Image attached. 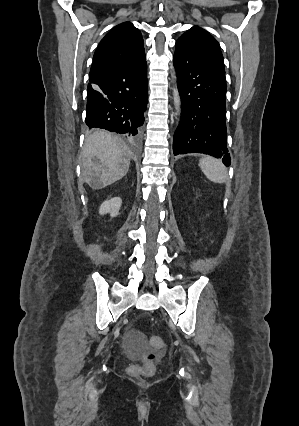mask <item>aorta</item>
Instances as JSON below:
<instances>
[{"mask_svg":"<svg viewBox=\"0 0 299 426\" xmlns=\"http://www.w3.org/2000/svg\"><path fill=\"white\" fill-rule=\"evenodd\" d=\"M174 79L176 81V76H174ZM173 99H174L175 110H176V113L178 114L180 113V109H181V100H180V96H179V92H178L176 84L173 88Z\"/></svg>","mask_w":299,"mask_h":426,"instance_id":"762f6f07","label":"aorta"}]
</instances>
